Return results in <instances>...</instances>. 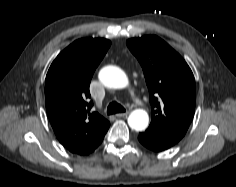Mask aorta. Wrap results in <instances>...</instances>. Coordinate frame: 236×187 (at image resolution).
Segmentation results:
<instances>
[{
  "instance_id": "762f6f07",
  "label": "aorta",
  "mask_w": 236,
  "mask_h": 187,
  "mask_svg": "<svg viewBox=\"0 0 236 187\" xmlns=\"http://www.w3.org/2000/svg\"><path fill=\"white\" fill-rule=\"evenodd\" d=\"M100 82L113 89H122L129 85L127 75L123 70L116 66H105L99 72ZM149 116L143 109H136L128 117L129 126L136 131H143L147 128Z\"/></svg>"
}]
</instances>
